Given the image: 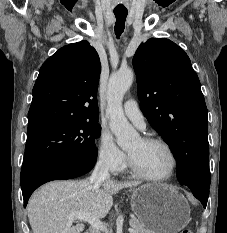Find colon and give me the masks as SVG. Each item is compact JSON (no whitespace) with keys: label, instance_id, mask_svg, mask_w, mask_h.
<instances>
[{"label":"colon","instance_id":"5ec220e1","mask_svg":"<svg viewBox=\"0 0 227 233\" xmlns=\"http://www.w3.org/2000/svg\"><path fill=\"white\" fill-rule=\"evenodd\" d=\"M179 233H192V231L188 228L182 229Z\"/></svg>","mask_w":227,"mask_h":233}]
</instances>
